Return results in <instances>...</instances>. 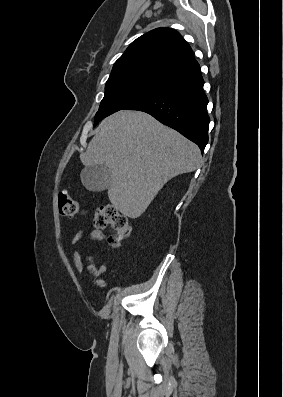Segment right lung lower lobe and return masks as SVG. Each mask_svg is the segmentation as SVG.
<instances>
[{
    "label": "right lung lower lobe",
    "instance_id": "right-lung-lower-lobe-1",
    "mask_svg": "<svg viewBox=\"0 0 283 397\" xmlns=\"http://www.w3.org/2000/svg\"><path fill=\"white\" fill-rule=\"evenodd\" d=\"M203 85L199 70L168 82L123 110H139L152 115L196 143L203 152L208 143L210 122Z\"/></svg>",
    "mask_w": 283,
    "mask_h": 397
}]
</instances>
